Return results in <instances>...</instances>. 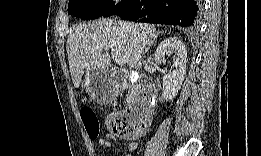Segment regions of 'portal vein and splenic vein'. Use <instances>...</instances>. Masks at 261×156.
<instances>
[{"instance_id": "portal-vein-and-splenic-vein-1", "label": "portal vein and splenic vein", "mask_w": 261, "mask_h": 156, "mask_svg": "<svg viewBox=\"0 0 261 156\" xmlns=\"http://www.w3.org/2000/svg\"><path fill=\"white\" fill-rule=\"evenodd\" d=\"M112 57H114V56H112ZM115 61H116V63H117L119 66H123V65L126 63V61H125L124 59L118 58V57H115Z\"/></svg>"}]
</instances>
